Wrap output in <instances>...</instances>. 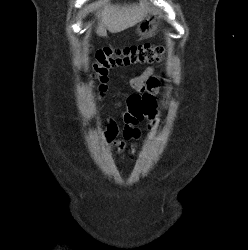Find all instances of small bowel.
Returning a JSON list of instances; mask_svg holds the SVG:
<instances>
[{
    "mask_svg": "<svg viewBox=\"0 0 248 250\" xmlns=\"http://www.w3.org/2000/svg\"><path fill=\"white\" fill-rule=\"evenodd\" d=\"M153 74L152 68H147L140 76L134 78L131 81V85L136 89H153L158 86V80L155 78L150 79ZM148 120L153 121L155 118V111L147 117ZM123 120L125 123L124 137L122 140L115 141V145L120 152L123 151H133L134 146L129 145L128 141L130 139H137L140 135L139 130L134 126L139 119L132 113V111L128 108V110L123 114ZM118 127L114 120H109V124L105 131V137L108 142H113L118 135Z\"/></svg>",
    "mask_w": 248,
    "mask_h": 250,
    "instance_id": "1",
    "label": "small bowel"
}]
</instances>
